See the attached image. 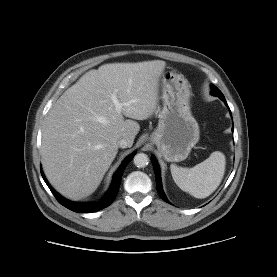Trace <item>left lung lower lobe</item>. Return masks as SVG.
Masks as SVG:
<instances>
[{"instance_id": "left-lung-lower-lobe-1", "label": "left lung lower lobe", "mask_w": 277, "mask_h": 277, "mask_svg": "<svg viewBox=\"0 0 277 277\" xmlns=\"http://www.w3.org/2000/svg\"><path fill=\"white\" fill-rule=\"evenodd\" d=\"M224 103L227 105V102L226 100H224ZM228 106V105H227ZM234 128H232V131H233ZM152 165H153V168H154V172H155V179H156V188H157V191L159 193V195L161 196V198L168 202L169 201L167 200L164 192H163V189H162V184H161V177H160V169H159V166L156 162V160L154 158H152Z\"/></svg>"}]
</instances>
